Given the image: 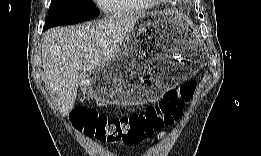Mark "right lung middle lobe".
<instances>
[{
	"mask_svg": "<svg viewBox=\"0 0 261 156\" xmlns=\"http://www.w3.org/2000/svg\"><path fill=\"white\" fill-rule=\"evenodd\" d=\"M100 14L90 0H53L44 29L90 20Z\"/></svg>",
	"mask_w": 261,
	"mask_h": 156,
	"instance_id": "obj_1",
	"label": "right lung middle lobe"
}]
</instances>
